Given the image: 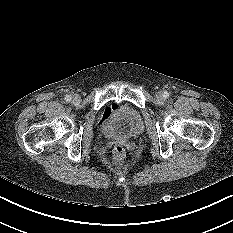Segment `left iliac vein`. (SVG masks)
Returning <instances> with one entry per match:
<instances>
[{
    "mask_svg": "<svg viewBox=\"0 0 233 233\" xmlns=\"http://www.w3.org/2000/svg\"><path fill=\"white\" fill-rule=\"evenodd\" d=\"M155 96L158 100H163V93L162 92H157Z\"/></svg>",
    "mask_w": 233,
    "mask_h": 233,
    "instance_id": "left-iliac-vein-1",
    "label": "left iliac vein"
}]
</instances>
